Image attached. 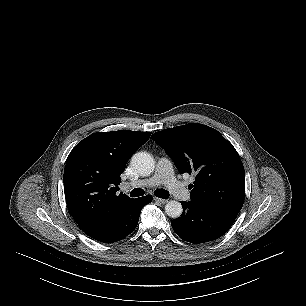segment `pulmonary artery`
Returning a JSON list of instances; mask_svg holds the SVG:
<instances>
[{"label": "pulmonary artery", "instance_id": "pulmonary-artery-1", "mask_svg": "<svg viewBox=\"0 0 306 306\" xmlns=\"http://www.w3.org/2000/svg\"><path fill=\"white\" fill-rule=\"evenodd\" d=\"M159 184H164L168 190L179 200H189L190 192L188 189L177 180L174 175L173 166L171 161L162 157L158 160L155 173L143 180L136 182L125 183V187H154Z\"/></svg>", "mask_w": 306, "mask_h": 306}]
</instances>
